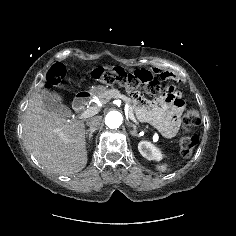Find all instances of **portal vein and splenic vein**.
<instances>
[{
  "instance_id": "1",
  "label": "portal vein and splenic vein",
  "mask_w": 236,
  "mask_h": 236,
  "mask_svg": "<svg viewBox=\"0 0 236 236\" xmlns=\"http://www.w3.org/2000/svg\"><path fill=\"white\" fill-rule=\"evenodd\" d=\"M100 111V107L98 106H92L90 108H88L87 110L83 111L78 118L79 119H85V118H89L91 116H94L96 114H98V112ZM125 112L128 115V117L135 123V124H139L138 121L136 120L134 114L132 113V111L130 110V104L129 102L125 101ZM62 136V134H61Z\"/></svg>"
}]
</instances>
